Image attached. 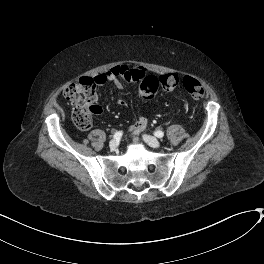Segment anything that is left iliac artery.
<instances>
[{"instance_id":"left-iliac-artery-1","label":"left iliac artery","mask_w":264,"mask_h":264,"mask_svg":"<svg viewBox=\"0 0 264 264\" xmlns=\"http://www.w3.org/2000/svg\"><path fill=\"white\" fill-rule=\"evenodd\" d=\"M154 135H155L156 137H158V138H161V137L164 136V132L161 131V130H157V131L154 132Z\"/></svg>"}]
</instances>
